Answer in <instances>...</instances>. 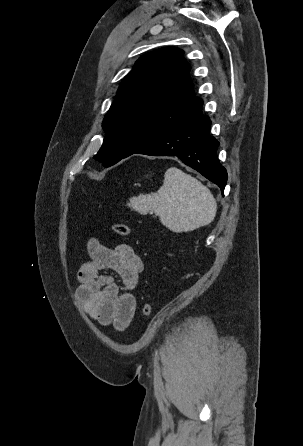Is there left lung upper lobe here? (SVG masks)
<instances>
[{
    "mask_svg": "<svg viewBox=\"0 0 303 446\" xmlns=\"http://www.w3.org/2000/svg\"><path fill=\"white\" fill-rule=\"evenodd\" d=\"M189 71L178 48L165 47L140 57L103 120L106 134L94 158L112 166L172 131L200 99Z\"/></svg>",
    "mask_w": 303,
    "mask_h": 446,
    "instance_id": "obj_1",
    "label": "left lung upper lobe"
}]
</instances>
